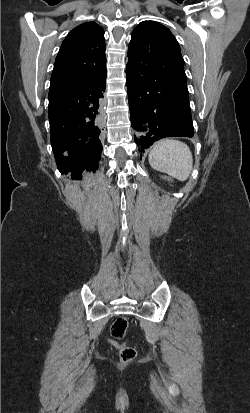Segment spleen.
Here are the masks:
<instances>
[{
  "instance_id": "obj_1",
  "label": "spleen",
  "mask_w": 250,
  "mask_h": 413,
  "mask_svg": "<svg viewBox=\"0 0 250 413\" xmlns=\"http://www.w3.org/2000/svg\"><path fill=\"white\" fill-rule=\"evenodd\" d=\"M148 159L152 168L180 181L188 179L193 167V156L189 147L174 139L157 142Z\"/></svg>"
}]
</instances>
